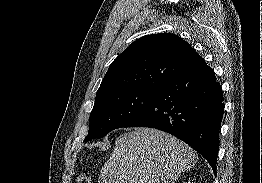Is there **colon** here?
<instances>
[{"label": "colon", "instance_id": "5ec220e1", "mask_svg": "<svg viewBox=\"0 0 262 183\" xmlns=\"http://www.w3.org/2000/svg\"><path fill=\"white\" fill-rule=\"evenodd\" d=\"M76 183H92V180L87 175H80L77 177Z\"/></svg>", "mask_w": 262, "mask_h": 183}]
</instances>
